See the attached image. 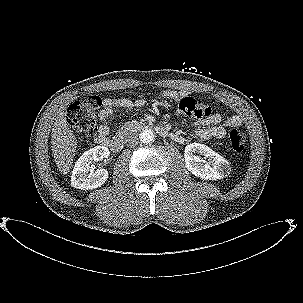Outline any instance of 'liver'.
Instances as JSON below:
<instances>
[{
    "label": "liver",
    "mask_w": 303,
    "mask_h": 303,
    "mask_svg": "<svg viewBox=\"0 0 303 303\" xmlns=\"http://www.w3.org/2000/svg\"><path fill=\"white\" fill-rule=\"evenodd\" d=\"M51 144L57 168L62 174H68L75 156L77 140L68 126L65 105H61L58 109L52 129Z\"/></svg>",
    "instance_id": "6515ba94"
}]
</instances>
